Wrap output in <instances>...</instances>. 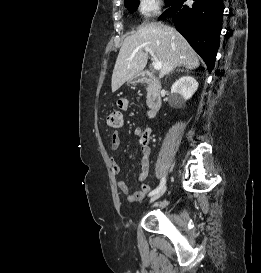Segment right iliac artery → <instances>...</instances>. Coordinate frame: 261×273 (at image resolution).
<instances>
[{
  "label": "right iliac artery",
  "mask_w": 261,
  "mask_h": 273,
  "mask_svg": "<svg viewBox=\"0 0 261 273\" xmlns=\"http://www.w3.org/2000/svg\"><path fill=\"white\" fill-rule=\"evenodd\" d=\"M165 183H166V179H165V177H162L159 186H158L156 189H154L153 191H151V192L149 193V196L154 195V194L157 193L160 189H162V188L164 187Z\"/></svg>",
  "instance_id": "obj_1"
}]
</instances>
